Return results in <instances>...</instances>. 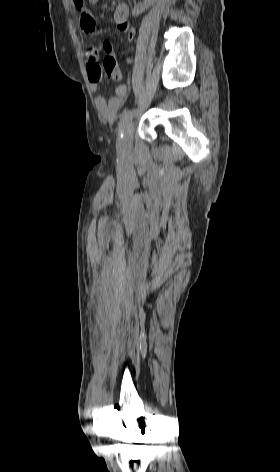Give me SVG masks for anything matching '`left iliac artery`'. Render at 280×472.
I'll return each mask as SVG.
<instances>
[{"label":"left iliac artery","instance_id":"obj_1","mask_svg":"<svg viewBox=\"0 0 280 472\" xmlns=\"http://www.w3.org/2000/svg\"><path fill=\"white\" fill-rule=\"evenodd\" d=\"M136 112L137 110L134 108V109H130L122 113L119 124H118V137L119 138H122L125 126L133 118Z\"/></svg>","mask_w":280,"mask_h":472}]
</instances>
